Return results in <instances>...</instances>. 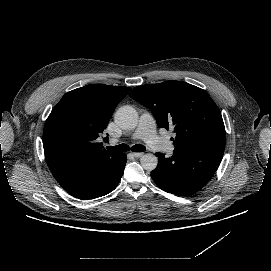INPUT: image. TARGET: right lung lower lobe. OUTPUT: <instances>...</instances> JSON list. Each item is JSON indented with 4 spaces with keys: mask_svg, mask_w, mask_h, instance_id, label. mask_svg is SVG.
I'll use <instances>...</instances> for the list:
<instances>
[{
    "mask_svg": "<svg viewBox=\"0 0 271 271\" xmlns=\"http://www.w3.org/2000/svg\"><path fill=\"white\" fill-rule=\"evenodd\" d=\"M127 156L119 153L110 161L96 163L79 172L67 184L61 185L70 195L79 199H94L113 191L121 180Z\"/></svg>",
    "mask_w": 271,
    "mask_h": 271,
    "instance_id": "obj_1",
    "label": "right lung lower lobe"
}]
</instances>
